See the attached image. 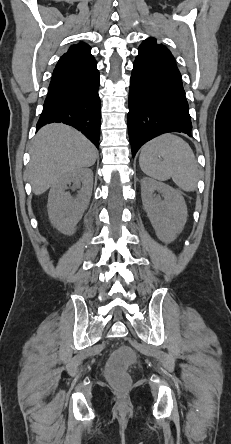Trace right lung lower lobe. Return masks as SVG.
<instances>
[{
    "mask_svg": "<svg viewBox=\"0 0 231 444\" xmlns=\"http://www.w3.org/2000/svg\"><path fill=\"white\" fill-rule=\"evenodd\" d=\"M99 71L92 68L52 78L37 129L62 122L80 130L96 147L100 137Z\"/></svg>",
    "mask_w": 231,
    "mask_h": 444,
    "instance_id": "1",
    "label": "right lung lower lobe"
}]
</instances>
